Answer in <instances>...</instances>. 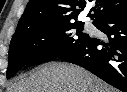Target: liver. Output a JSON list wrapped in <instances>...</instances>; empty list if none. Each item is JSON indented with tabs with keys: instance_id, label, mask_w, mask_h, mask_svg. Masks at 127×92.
<instances>
[{
	"instance_id": "1",
	"label": "liver",
	"mask_w": 127,
	"mask_h": 92,
	"mask_svg": "<svg viewBox=\"0 0 127 92\" xmlns=\"http://www.w3.org/2000/svg\"><path fill=\"white\" fill-rule=\"evenodd\" d=\"M7 92H117L89 71L67 63H49L21 77Z\"/></svg>"
}]
</instances>
